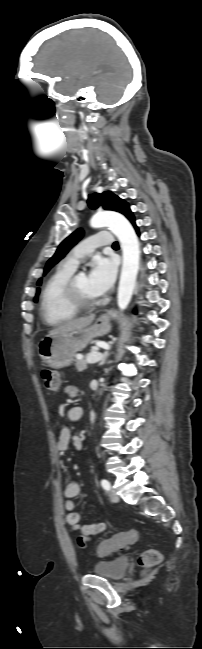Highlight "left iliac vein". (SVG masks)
<instances>
[{
	"label": "left iliac vein",
	"instance_id": "left-iliac-vein-1",
	"mask_svg": "<svg viewBox=\"0 0 202 649\" xmlns=\"http://www.w3.org/2000/svg\"><path fill=\"white\" fill-rule=\"evenodd\" d=\"M108 495H109V498H110L112 501H115V502L119 501V496L116 494L115 491L110 490L109 493H108Z\"/></svg>",
	"mask_w": 202,
	"mask_h": 649
}]
</instances>
